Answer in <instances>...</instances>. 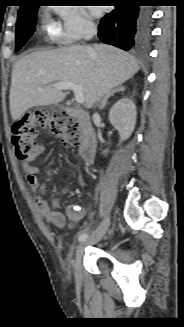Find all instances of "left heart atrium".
<instances>
[{
    "label": "left heart atrium",
    "instance_id": "obj_1",
    "mask_svg": "<svg viewBox=\"0 0 184 327\" xmlns=\"http://www.w3.org/2000/svg\"><path fill=\"white\" fill-rule=\"evenodd\" d=\"M93 14H94V15H97V14H98V11H97V10H95V11L93 12Z\"/></svg>",
    "mask_w": 184,
    "mask_h": 327
}]
</instances>
